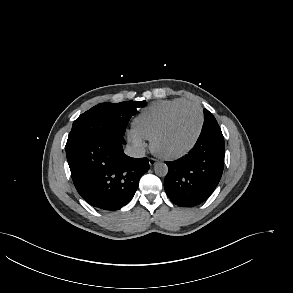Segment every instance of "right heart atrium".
<instances>
[{
    "label": "right heart atrium",
    "mask_w": 293,
    "mask_h": 293,
    "mask_svg": "<svg viewBox=\"0 0 293 293\" xmlns=\"http://www.w3.org/2000/svg\"><path fill=\"white\" fill-rule=\"evenodd\" d=\"M128 140L131 146L137 151V152H143L147 148V143L145 139L135 132H130L128 134Z\"/></svg>",
    "instance_id": "right-heart-atrium-1"
}]
</instances>
